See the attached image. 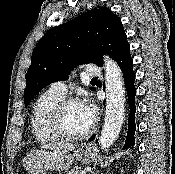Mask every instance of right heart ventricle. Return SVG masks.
<instances>
[{"label":"right heart ventricle","mask_w":175,"mask_h":174,"mask_svg":"<svg viewBox=\"0 0 175 174\" xmlns=\"http://www.w3.org/2000/svg\"><path fill=\"white\" fill-rule=\"evenodd\" d=\"M63 98L51 90L37 98L31 116V131L37 141L51 143L59 140L50 128L49 116L53 107Z\"/></svg>","instance_id":"right-heart-ventricle-1"}]
</instances>
